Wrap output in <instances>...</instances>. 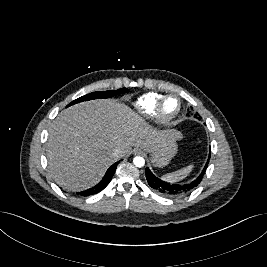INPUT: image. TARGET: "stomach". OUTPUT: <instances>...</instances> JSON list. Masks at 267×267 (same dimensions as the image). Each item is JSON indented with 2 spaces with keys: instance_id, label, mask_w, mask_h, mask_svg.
Instances as JSON below:
<instances>
[{
  "instance_id": "obj_1",
  "label": "stomach",
  "mask_w": 267,
  "mask_h": 267,
  "mask_svg": "<svg viewBox=\"0 0 267 267\" xmlns=\"http://www.w3.org/2000/svg\"><path fill=\"white\" fill-rule=\"evenodd\" d=\"M177 138L173 132L156 149H145L151 156V162L154 166L164 167L169 164L171 159L177 153Z\"/></svg>"
}]
</instances>
